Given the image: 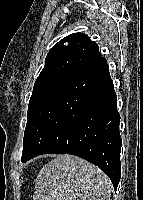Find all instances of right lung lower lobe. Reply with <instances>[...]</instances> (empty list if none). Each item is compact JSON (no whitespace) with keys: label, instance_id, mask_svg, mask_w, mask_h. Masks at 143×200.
I'll use <instances>...</instances> for the list:
<instances>
[{"label":"right lung lower lobe","instance_id":"1","mask_svg":"<svg viewBox=\"0 0 143 200\" xmlns=\"http://www.w3.org/2000/svg\"><path fill=\"white\" fill-rule=\"evenodd\" d=\"M120 115L106 59L67 76L36 111L23 140L22 162L41 154H73L121 177Z\"/></svg>","mask_w":143,"mask_h":200}]
</instances>
